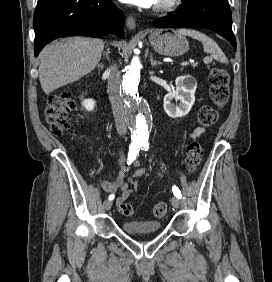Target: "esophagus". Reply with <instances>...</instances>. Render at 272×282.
I'll return each mask as SVG.
<instances>
[{
	"label": "esophagus",
	"instance_id": "esophagus-1",
	"mask_svg": "<svg viewBox=\"0 0 272 282\" xmlns=\"http://www.w3.org/2000/svg\"><path fill=\"white\" fill-rule=\"evenodd\" d=\"M126 26H127L128 29H131V30L136 28V21H135L134 17H132V16L127 17Z\"/></svg>",
	"mask_w": 272,
	"mask_h": 282
}]
</instances>
